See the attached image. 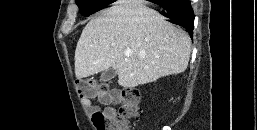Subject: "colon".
Wrapping results in <instances>:
<instances>
[{
    "label": "colon",
    "instance_id": "colon-1",
    "mask_svg": "<svg viewBox=\"0 0 257 130\" xmlns=\"http://www.w3.org/2000/svg\"><path fill=\"white\" fill-rule=\"evenodd\" d=\"M80 97H93L96 93L116 95L108 83H97L94 80L76 81ZM120 107L117 111L105 113L96 111L92 122L97 130H129L130 122L137 121L141 114V95L135 88L123 90L118 95Z\"/></svg>",
    "mask_w": 257,
    "mask_h": 130
}]
</instances>
